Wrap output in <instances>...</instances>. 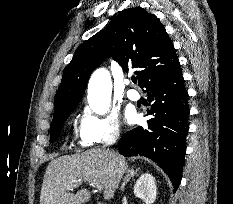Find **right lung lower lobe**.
<instances>
[{"mask_svg":"<svg viewBox=\"0 0 233 204\" xmlns=\"http://www.w3.org/2000/svg\"><path fill=\"white\" fill-rule=\"evenodd\" d=\"M149 114L148 127H137L120 139L119 152L124 156H146L169 176L175 189L180 185L185 163L186 136L189 130L188 93L179 62L158 73L145 86Z\"/></svg>","mask_w":233,"mask_h":204,"instance_id":"obj_1","label":"right lung lower lobe"}]
</instances>
